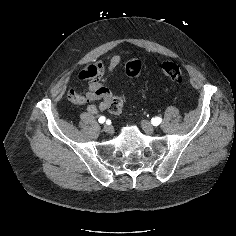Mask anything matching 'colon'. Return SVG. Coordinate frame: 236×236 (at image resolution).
<instances>
[{"label":"colon","instance_id":"obj_1","mask_svg":"<svg viewBox=\"0 0 236 236\" xmlns=\"http://www.w3.org/2000/svg\"><path fill=\"white\" fill-rule=\"evenodd\" d=\"M162 73L176 83H181L183 81V71L182 68L174 62H164L161 66ZM143 72V65L140 60L133 59L127 62L125 66V74L129 77L135 78L139 77ZM69 98L72 103L76 105H82L86 102L85 97L72 90L69 93ZM123 106V100L119 96H115L111 99L108 105V112L112 115H118Z\"/></svg>","mask_w":236,"mask_h":236}]
</instances>
